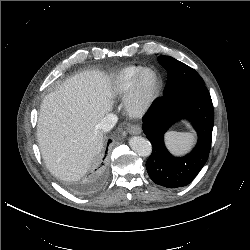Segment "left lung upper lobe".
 Masks as SVG:
<instances>
[{
  "instance_id": "obj_1",
  "label": "left lung upper lobe",
  "mask_w": 250,
  "mask_h": 250,
  "mask_svg": "<svg viewBox=\"0 0 250 250\" xmlns=\"http://www.w3.org/2000/svg\"><path fill=\"white\" fill-rule=\"evenodd\" d=\"M157 60L168 73L164 97L196 86H205L200 75L186 64L164 55L158 56Z\"/></svg>"
}]
</instances>
